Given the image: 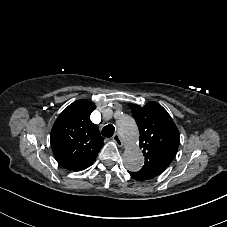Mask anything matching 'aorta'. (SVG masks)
<instances>
[{
  "instance_id": "1",
  "label": "aorta",
  "mask_w": 227,
  "mask_h": 227,
  "mask_svg": "<svg viewBox=\"0 0 227 227\" xmlns=\"http://www.w3.org/2000/svg\"><path fill=\"white\" fill-rule=\"evenodd\" d=\"M119 135L126 145L123 162L127 170L139 171L144 165V156L138 147L139 131L134 119L128 115H121L116 122Z\"/></svg>"
}]
</instances>
